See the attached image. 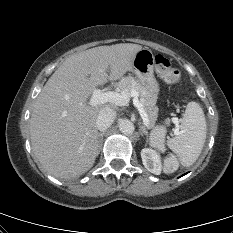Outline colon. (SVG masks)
<instances>
[{
  "label": "colon",
  "instance_id": "1",
  "mask_svg": "<svg viewBox=\"0 0 233 233\" xmlns=\"http://www.w3.org/2000/svg\"><path fill=\"white\" fill-rule=\"evenodd\" d=\"M154 65L158 75L167 83L175 84L180 80V72L171 66L170 61L163 55L154 57ZM150 145L159 152L165 151V129L158 126L150 136ZM179 167L177 158L168 153L163 161V171L168 174L174 173Z\"/></svg>",
  "mask_w": 233,
  "mask_h": 233
}]
</instances>
